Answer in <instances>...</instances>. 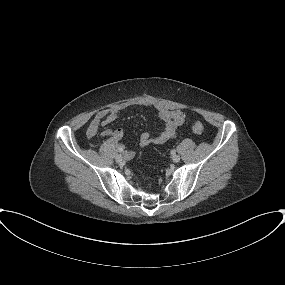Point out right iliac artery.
<instances>
[{"instance_id": "82829eb1", "label": "right iliac artery", "mask_w": 285, "mask_h": 285, "mask_svg": "<svg viewBox=\"0 0 285 285\" xmlns=\"http://www.w3.org/2000/svg\"><path fill=\"white\" fill-rule=\"evenodd\" d=\"M118 151H119V152H123V149L119 148Z\"/></svg>"}]
</instances>
